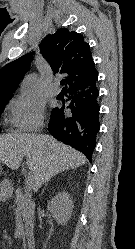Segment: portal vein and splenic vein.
<instances>
[{
	"label": "portal vein and splenic vein",
	"mask_w": 135,
	"mask_h": 249,
	"mask_svg": "<svg viewBox=\"0 0 135 249\" xmlns=\"http://www.w3.org/2000/svg\"><path fill=\"white\" fill-rule=\"evenodd\" d=\"M25 188H26L27 190H30L31 188H33V177H32V176H29V177L26 179Z\"/></svg>",
	"instance_id": "obj_1"
}]
</instances>
